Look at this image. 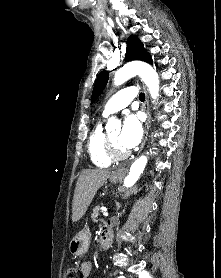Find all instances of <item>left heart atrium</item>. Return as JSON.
I'll return each mask as SVG.
<instances>
[{"label": "left heart atrium", "mask_w": 221, "mask_h": 278, "mask_svg": "<svg viewBox=\"0 0 221 278\" xmlns=\"http://www.w3.org/2000/svg\"><path fill=\"white\" fill-rule=\"evenodd\" d=\"M142 136V125L137 115L131 114L125 118L122 131L119 135V143L125 149L135 147Z\"/></svg>", "instance_id": "1"}]
</instances>
